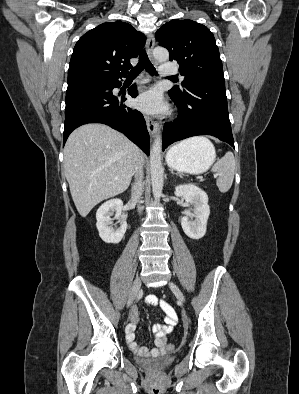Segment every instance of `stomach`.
<instances>
[{
	"instance_id": "obj_1",
	"label": "stomach",
	"mask_w": 299,
	"mask_h": 394,
	"mask_svg": "<svg viewBox=\"0 0 299 394\" xmlns=\"http://www.w3.org/2000/svg\"><path fill=\"white\" fill-rule=\"evenodd\" d=\"M215 157L213 145L192 141L172 147L166 155V162L170 168L177 171L201 174L212 165Z\"/></svg>"
}]
</instances>
